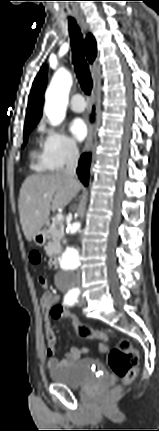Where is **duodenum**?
<instances>
[{"label":"duodenum","instance_id":"410a0bca","mask_svg":"<svg viewBox=\"0 0 159 431\" xmlns=\"http://www.w3.org/2000/svg\"><path fill=\"white\" fill-rule=\"evenodd\" d=\"M40 236L43 237L44 233H41ZM49 265L52 269H57L59 267V256L56 254L51 256Z\"/></svg>","mask_w":159,"mask_h":431}]
</instances>
